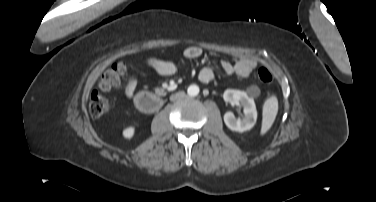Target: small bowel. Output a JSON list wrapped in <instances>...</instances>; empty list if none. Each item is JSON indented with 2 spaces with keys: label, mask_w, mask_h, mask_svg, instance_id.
Instances as JSON below:
<instances>
[{
  "label": "small bowel",
  "mask_w": 376,
  "mask_h": 202,
  "mask_svg": "<svg viewBox=\"0 0 376 202\" xmlns=\"http://www.w3.org/2000/svg\"><path fill=\"white\" fill-rule=\"evenodd\" d=\"M202 55L201 48L197 46H189L184 49L183 56L188 60H194ZM147 64L154 69L159 75L172 76L178 71V64L161 60L158 58H148ZM256 61L248 57H240L232 64L228 61H221L219 70L226 75L236 74L241 77H247L256 66ZM216 78V70L211 67H204L198 72V79L203 83H210ZM138 79L135 75L131 76L126 83L125 93L128 97H132L136 91Z\"/></svg>",
  "instance_id": "c3829d8e"
}]
</instances>
